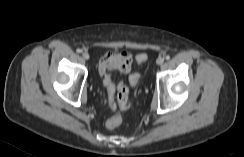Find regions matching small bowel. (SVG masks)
I'll use <instances>...</instances> for the list:
<instances>
[{
	"mask_svg": "<svg viewBox=\"0 0 244 157\" xmlns=\"http://www.w3.org/2000/svg\"><path fill=\"white\" fill-rule=\"evenodd\" d=\"M133 62L134 55L130 52L108 51L100 57L98 70L101 76H103L108 69H113L120 74H127L130 72Z\"/></svg>",
	"mask_w": 244,
	"mask_h": 157,
	"instance_id": "c3829d8e",
	"label": "small bowel"
}]
</instances>
